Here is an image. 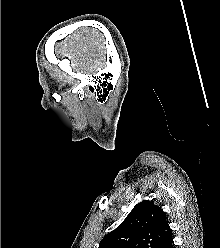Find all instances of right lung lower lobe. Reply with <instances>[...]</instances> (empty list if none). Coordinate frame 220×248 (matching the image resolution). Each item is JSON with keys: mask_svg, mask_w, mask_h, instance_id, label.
Listing matches in <instances>:
<instances>
[{"mask_svg": "<svg viewBox=\"0 0 220 248\" xmlns=\"http://www.w3.org/2000/svg\"><path fill=\"white\" fill-rule=\"evenodd\" d=\"M162 248H175L173 244V238L171 237L163 246Z\"/></svg>", "mask_w": 220, "mask_h": 248, "instance_id": "right-lung-lower-lobe-1", "label": "right lung lower lobe"}]
</instances>
